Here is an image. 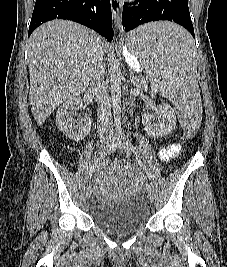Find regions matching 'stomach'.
Here are the masks:
<instances>
[{
	"label": "stomach",
	"mask_w": 227,
	"mask_h": 267,
	"mask_svg": "<svg viewBox=\"0 0 227 267\" xmlns=\"http://www.w3.org/2000/svg\"><path fill=\"white\" fill-rule=\"evenodd\" d=\"M124 56L126 62L129 64L131 68H133L136 71H142V63H138V59H135V55H130L128 47H125Z\"/></svg>",
	"instance_id": "1"
}]
</instances>
